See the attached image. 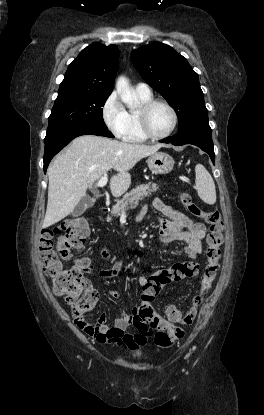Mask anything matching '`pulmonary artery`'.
Listing matches in <instances>:
<instances>
[{
    "instance_id": "obj_1",
    "label": "pulmonary artery",
    "mask_w": 264,
    "mask_h": 415,
    "mask_svg": "<svg viewBox=\"0 0 264 415\" xmlns=\"http://www.w3.org/2000/svg\"><path fill=\"white\" fill-rule=\"evenodd\" d=\"M135 90L139 94L143 95H151V89L150 87L145 83H137L135 85Z\"/></svg>"
}]
</instances>
